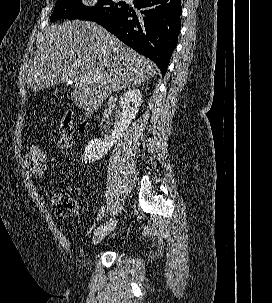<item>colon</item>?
I'll return each mask as SVG.
<instances>
[{
  "label": "colon",
  "instance_id": "1",
  "mask_svg": "<svg viewBox=\"0 0 272 303\" xmlns=\"http://www.w3.org/2000/svg\"><path fill=\"white\" fill-rule=\"evenodd\" d=\"M60 147L63 150H69L72 146L73 124L70 114H65L59 126ZM30 162L33 170L38 174L48 173L46 151L40 144H33L29 149ZM52 209L54 213L61 217L74 216L79 211L77 200L63 193H57L52 197Z\"/></svg>",
  "mask_w": 272,
  "mask_h": 303
}]
</instances>
